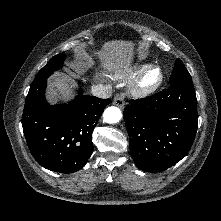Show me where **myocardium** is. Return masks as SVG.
<instances>
[{
    "instance_id": "1",
    "label": "myocardium",
    "mask_w": 221,
    "mask_h": 221,
    "mask_svg": "<svg viewBox=\"0 0 221 221\" xmlns=\"http://www.w3.org/2000/svg\"><path fill=\"white\" fill-rule=\"evenodd\" d=\"M157 72V78L154 81H150L148 76L151 72ZM164 82V72L162 68L156 65H150L141 70L133 81L131 82L130 91L136 95H148L160 88Z\"/></svg>"
}]
</instances>
